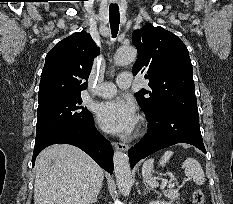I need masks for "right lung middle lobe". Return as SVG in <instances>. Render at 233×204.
<instances>
[{
  "label": "right lung middle lobe",
  "instance_id": "dd1d6c3e",
  "mask_svg": "<svg viewBox=\"0 0 233 204\" xmlns=\"http://www.w3.org/2000/svg\"><path fill=\"white\" fill-rule=\"evenodd\" d=\"M38 103L35 140L64 128L81 125L92 119L90 111L81 105L80 95L51 97Z\"/></svg>",
  "mask_w": 233,
  "mask_h": 204
}]
</instances>
